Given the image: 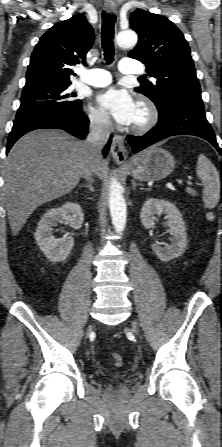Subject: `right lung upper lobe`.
<instances>
[{"label": "right lung upper lobe", "instance_id": "1", "mask_svg": "<svg viewBox=\"0 0 222 447\" xmlns=\"http://www.w3.org/2000/svg\"><path fill=\"white\" fill-rule=\"evenodd\" d=\"M94 31L83 15L56 23L36 45L28 66L24 90L70 85L71 67L85 64Z\"/></svg>", "mask_w": 222, "mask_h": 447}]
</instances>
